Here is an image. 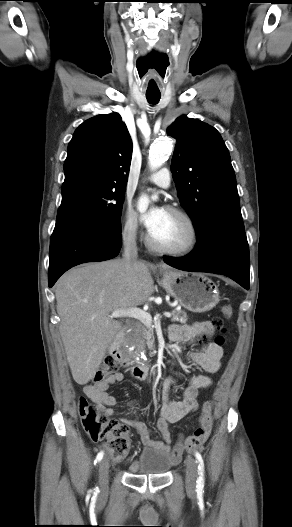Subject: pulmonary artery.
Here are the masks:
<instances>
[{
	"mask_svg": "<svg viewBox=\"0 0 292 527\" xmlns=\"http://www.w3.org/2000/svg\"><path fill=\"white\" fill-rule=\"evenodd\" d=\"M147 181L155 184L158 187L168 188L171 183L170 172L168 169L163 168L155 174L149 176Z\"/></svg>",
	"mask_w": 292,
	"mask_h": 527,
	"instance_id": "pulmonary-artery-1",
	"label": "pulmonary artery"
}]
</instances>
